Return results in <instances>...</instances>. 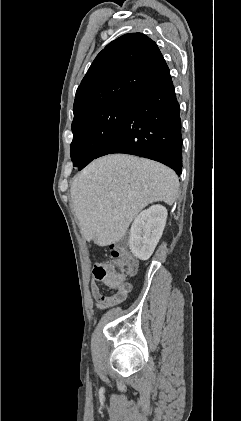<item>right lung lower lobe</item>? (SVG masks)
Wrapping results in <instances>:
<instances>
[{"label": "right lung lower lobe", "instance_id": "right-lung-lower-lobe-1", "mask_svg": "<svg viewBox=\"0 0 241 421\" xmlns=\"http://www.w3.org/2000/svg\"><path fill=\"white\" fill-rule=\"evenodd\" d=\"M182 143L180 108L166 66L129 100L121 125L96 158L132 154L161 162L180 175Z\"/></svg>", "mask_w": 241, "mask_h": 421}]
</instances>
